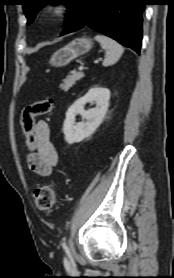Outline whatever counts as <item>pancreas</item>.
Here are the masks:
<instances>
[{
  "mask_svg": "<svg viewBox=\"0 0 174 278\" xmlns=\"http://www.w3.org/2000/svg\"><path fill=\"white\" fill-rule=\"evenodd\" d=\"M83 77H84V73L82 72L68 75L66 79L63 80V83L60 85V88L64 91H68L76 83V81L80 80Z\"/></svg>",
  "mask_w": 174,
  "mask_h": 278,
  "instance_id": "cf45deb5",
  "label": "pancreas"
}]
</instances>
